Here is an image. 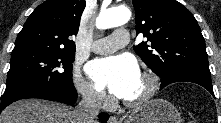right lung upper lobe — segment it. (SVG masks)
I'll use <instances>...</instances> for the list:
<instances>
[{
	"label": "right lung upper lobe",
	"mask_w": 221,
	"mask_h": 123,
	"mask_svg": "<svg viewBox=\"0 0 221 123\" xmlns=\"http://www.w3.org/2000/svg\"><path fill=\"white\" fill-rule=\"evenodd\" d=\"M85 0H46L25 22L13 51L40 48L74 51Z\"/></svg>",
	"instance_id": "obj_1"
}]
</instances>
